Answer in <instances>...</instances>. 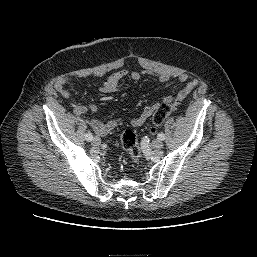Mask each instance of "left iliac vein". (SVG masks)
<instances>
[{"label": "left iliac vein", "mask_w": 257, "mask_h": 257, "mask_svg": "<svg viewBox=\"0 0 257 257\" xmlns=\"http://www.w3.org/2000/svg\"><path fill=\"white\" fill-rule=\"evenodd\" d=\"M151 147L154 149V150H160L162 147H163V142L159 139L157 140H154L152 143H151Z\"/></svg>", "instance_id": "1"}]
</instances>
